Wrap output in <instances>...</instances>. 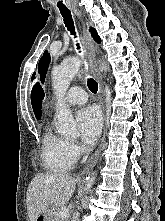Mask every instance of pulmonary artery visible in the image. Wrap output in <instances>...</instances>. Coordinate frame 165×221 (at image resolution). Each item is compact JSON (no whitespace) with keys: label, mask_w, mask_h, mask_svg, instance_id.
I'll list each match as a JSON object with an SVG mask.
<instances>
[{"label":"pulmonary artery","mask_w":165,"mask_h":221,"mask_svg":"<svg viewBox=\"0 0 165 221\" xmlns=\"http://www.w3.org/2000/svg\"><path fill=\"white\" fill-rule=\"evenodd\" d=\"M65 102L70 105H82L87 102V94L83 88L74 86L67 92Z\"/></svg>","instance_id":"e3ab8cb5"}]
</instances>
